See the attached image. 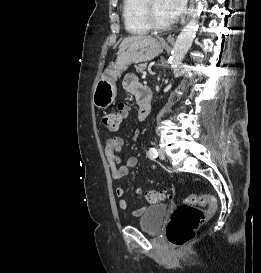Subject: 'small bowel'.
Here are the masks:
<instances>
[{
	"label": "small bowel",
	"mask_w": 261,
	"mask_h": 273,
	"mask_svg": "<svg viewBox=\"0 0 261 273\" xmlns=\"http://www.w3.org/2000/svg\"><path fill=\"white\" fill-rule=\"evenodd\" d=\"M124 89L135 96L138 100L143 93V89H147L139 81L136 75L128 73L123 78ZM148 90V89H147ZM149 91V90H148ZM118 110L123 113L122 118H127L129 115V106L119 104ZM139 130L133 136V141L136 142L139 138ZM124 146V141L119 136H111L105 142L104 153L111 169V176L114 180L119 181L128 175L130 169L138 165V158L135 156L129 157L124 163L121 159V151ZM116 195L120 198L119 207L121 210H126L129 207L128 200L125 198V189L118 186L115 190ZM145 208L136 209L133 214L135 216L142 215Z\"/></svg>",
	"instance_id": "1"
}]
</instances>
